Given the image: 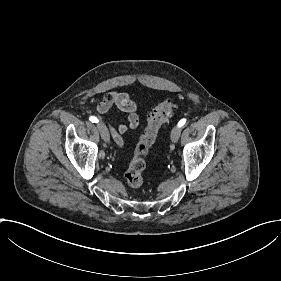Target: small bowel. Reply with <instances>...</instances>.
Here are the masks:
<instances>
[{"label": "small bowel", "instance_id": "c3829d8e", "mask_svg": "<svg viewBox=\"0 0 281 281\" xmlns=\"http://www.w3.org/2000/svg\"><path fill=\"white\" fill-rule=\"evenodd\" d=\"M112 108H118L127 116L128 124L116 123L112 127L114 139L119 142L120 135L125 134L128 129H135L139 125L137 106L128 94L120 90H112L97 106L99 115H106ZM122 146V145H121Z\"/></svg>", "mask_w": 281, "mask_h": 281}]
</instances>
